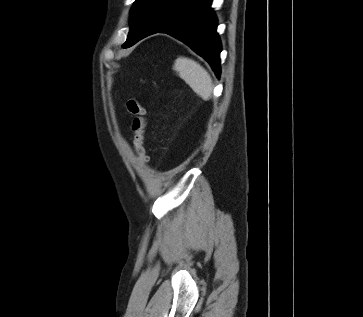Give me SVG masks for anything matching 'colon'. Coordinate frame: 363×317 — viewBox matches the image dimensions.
<instances>
[{"mask_svg":"<svg viewBox=\"0 0 363 317\" xmlns=\"http://www.w3.org/2000/svg\"><path fill=\"white\" fill-rule=\"evenodd\" d=\"M127 110L132 115V130L134 132V151L138 159L145 157V108L135 98L127 101Z\"/></svg>","mask_w":363,"mask_h":317,"instance_id":"obj_1","label":"colon"}]
</instances>
